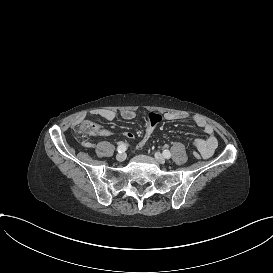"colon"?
Masks as SVG:
<instances>
[{
    "label": "colon",
    "mask_w": 273,
    "mask_h": 273,
    "mask_svg": "<svg viewBox=\"0 0 273 273\" xmlns=\"http://www.w3.org/2000/svg\"><path fill=\"white\" fill-rule=\"evenodd\" d=\"M147 122L150 124L145 129V137H143L140 141L136 142V147L139 150H142L144 146H147L152 138L154 127L162 122V117L158 113H151ZM152 125V126H151ZM102 132V126L100 123L96 122L91 117H86L83 119L82 124L78 125L72 132V137L76 141H81L84 144H89L93 140V136H98Z\"/></svg>",
    "instance_id": "obj_1"
}]
</instances>
